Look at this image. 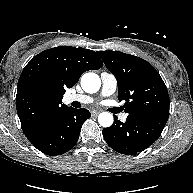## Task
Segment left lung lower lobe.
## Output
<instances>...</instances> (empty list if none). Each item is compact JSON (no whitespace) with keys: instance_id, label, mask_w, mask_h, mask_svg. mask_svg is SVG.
<instances>
[{"instance_id":"1","label":"left lung lower lobe","mask_w":193,"mask_h":193,"mask_svg":"<svg viewBox=\"0 0 193 193\" xmlns=\"http://www.w3.org/2000/svg\"><path fill=\"white\" fill-rule=\"evenodd\" d=\"M169 115L128 119L125 123L115 118L112 126L102 133L107 144L115 151L134 155L154 143L162 133Z\"/></svg>"}]
</instances>
